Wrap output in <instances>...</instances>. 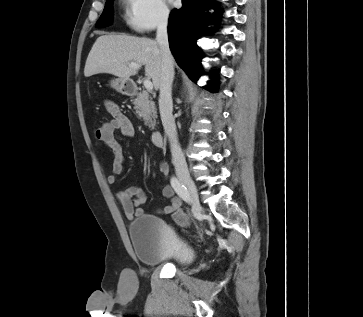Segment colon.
<instances>
[{
  "instance_id": "5ec220e1",
  "label": "colon",
  "mask_w": 363,
  "mask_h": 317,
  "mask_svg": "<svg viewBox=\"0 0 363 317\" xmlns=\"http://www.w3.org/2000/svg\"><path fill=\"white\" fill-rule=\"evenodd\" d=\"M100 126H97L95 128V131H97L99 129ZM175 221L177 222L178 225L180 226H186L188 224V218L185 214L178 212L175 214Z\"/></svg>"
}]
</instances>
